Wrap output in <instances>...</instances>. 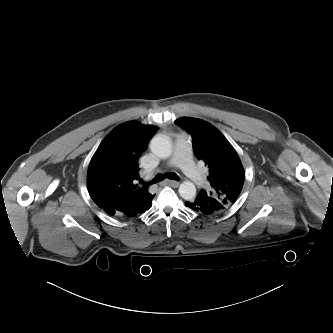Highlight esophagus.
<instances>
[{
    "label": "esophagus",
    "instance_id": "obj_1",
    "mask_svg": "<svg viewBox=\"0 0 333 333\" xmlns=\"http://www.w3.org/2000/svg\"><path fill=\"white\" fill-rule=\"evenodd\" d=\"M162 185H169V186H172V187H178L179 185V182L177 181H174V180H165Z\"/></svg>",
    "mask_w": 333,
    "mask_h": 333
}]
</instances>
